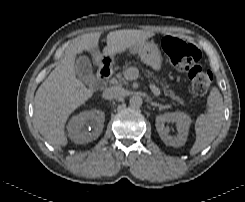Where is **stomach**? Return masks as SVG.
<instances>
[{
    "instance_id": "0dacf381",
    "label": "stomach",
    "mask_w": 245,
    "mask_h": 202,
    "mask_svg": "<svg viewBox=\"0 0 245 202\" xmlns=\"http://www.w3.org/2000/svg\"><path fill=\"white\" fill-rule=\"evenodd\" d=\"M132 54H138L141 61L155 71L162 68V57L157 44L153 41H145L129 49Z\"/></svg>"
}]
</instances>
